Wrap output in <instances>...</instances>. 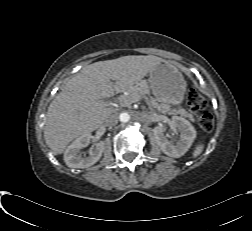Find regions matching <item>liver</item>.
Returning a JSON list of instances; mask_svg holds the SVG:
<instances>
[{"label": "liver", "instance_id": "liver-1", "mask_svg": "<svg viewBox=\"0 0 252 231\" xmlns=\"http://www.w3.org/2000/svg\"><path fill=\"white\" fill-rule=\"evenodd\" d=\"M161 61L153 55H131L83 68L66 82L48 107L44 128L47 146L55 154H62L71 141L99 128L115 112L102 99L115 92L137 90L139 82Z\"/></svg>", "mask_w": 252, "mask_h": 231}]
</instances>
